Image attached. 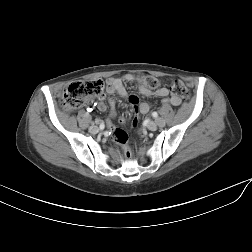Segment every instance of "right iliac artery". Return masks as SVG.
<instances>
[{
  "instance_id": "82829eb1",
  "label": "right iliac artery",
  "mask_w": 252,
  "mask_h": 252,
  "mask_svg": "<svg viewBox=\"0 0 252 252\" xmlns=\"http://www.w3.org/2000/svg\"><path fill=\"white\" fill-rule=\"evenodd\" d=\"M99 130L103 131L104 130V123H101V125L99 126Z\"/></svg>"
}]
</instances>
